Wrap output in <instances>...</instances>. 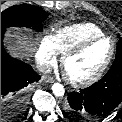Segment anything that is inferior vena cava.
I'll use <instances>...</instances> for the list:
<instances>
[{
  "instance_id": "obj_1",
  "label": "inferior vena cava",
  "mask_w": 122,
  "mask_h": 122,
  "mask_svg": "<svg viewBox=\"0 0 122 122\" xmlns=\"http://www.w3.org/2000/svg\"><path fill=\"white\" fill-rule=\"evenodd\" d=\"M37 69L39 72L44 73V74H48L51 72V66L47 64H43V65L39 64L37 65Z\"/></svg>"
}]
</instances>
